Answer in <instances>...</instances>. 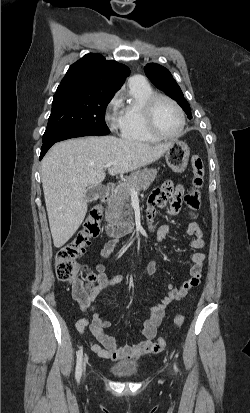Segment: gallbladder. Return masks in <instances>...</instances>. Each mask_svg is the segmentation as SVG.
<instances>
[{
  "instance_id": "1",
  "label": "gallbladder",
  "mask_w": 250,
  "mask_h": 413,
  "mask_svg": "<svg viewBox=\"0 0 250 413\" xmlns=\"http://www.w3.org/2000/svg\"><path fill=\"white\" fill-rule=\"evenodd\" d=\"M104 188L101 186H95L92 188H88L85 192V198L88 202H91L99 197L101 193H103Z\"/></svg>"
}]
</instances>
